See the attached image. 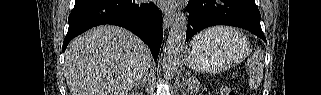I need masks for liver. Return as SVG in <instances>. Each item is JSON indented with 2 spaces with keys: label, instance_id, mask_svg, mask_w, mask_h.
Returning <instances> with one entry per match:
<instances>
[{
  "label": "liver",
  "instance_id": "1",
  "mask_svg": "<svg viewBox=\"0 0 321 95\" xmlns=\"http://www.w3.org/2000/svg\"><path fill=\"white\" fill-rule=\"evenodd\" d=\"M151 60L138 37L103 25L69 43L64 73L71 95H127L146 76Z\"/></svg>",
  "mask_w": 321,
  "mask_h": 95
}]
</instances>
